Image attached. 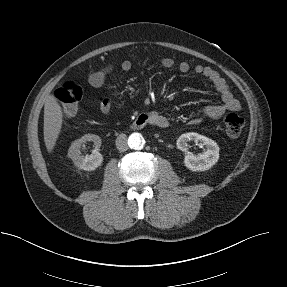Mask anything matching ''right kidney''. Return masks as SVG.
I'll use <instances>...</instances> for the list:
<instances>
[{"label": "right kidney", "mask_w": 287, "mask_h": 287, "mask_svg": "<svg viewBox=\"0 0 287 287\" xmlns=\"http://www.w3.org/2000/svg\"><path fill=\"white\" fill-rule=\"evenodd\" d=\"M88 141H92L94 143L95 149L92 151L91 154H87L84 156L82 155L80 150ZM100 146L101 139L99 136L94 134H86L80 139L75 140L71 144L68 150V156L72 159L74 165L79 169L92 171L99 167L103 162V156L98 151V148H100Z\"/></svg>", "instance_id": "obj_1"}]
</instances>
